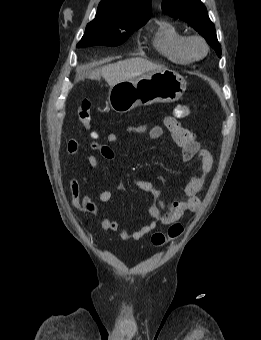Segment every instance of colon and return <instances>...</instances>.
I'll list each match as a JSON object with an SVG mask.
<instances>
[{
    "label": "colon",
    "mask_w": 261,
    "mask_h": 340,
    "mask_svg": "<svg viewBox=\"0 0 261 340\" xmlns=\"http://www.w3.org/2000/svg\"><path fill=\"white\" fill-rule=\"evenodd\" d=\"M173 115L177 118H186L190 115V109L185 105H178L173 109ZM78 116L82 124L89 128L92 120L91 104L89 101L84 100L78 107ZM94 137H98L97 134H93ZM184 227L180 223L172 224L167 233L157 232L152 235L151 241L154 246L161 247L166 243L176 240L183 233Z\"/></svg>",
    "instance_id": "5ec220e1"
}]
</instances>
